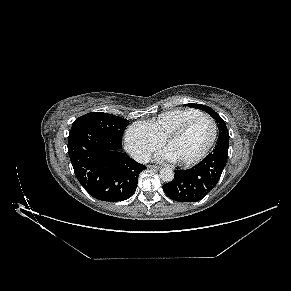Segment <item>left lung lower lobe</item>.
Wrapping results in <instances>:
<instances>
[{
  "label": "left lung lower lobe",
  "instance_id": "0a47b994",
  "mask_svg": "<svg viewBox=\"0 0 291 291\" xmlns=\"http://www.w3.org/2000/svg\"><path fill=\"white\" fill-rule=\"evenodd\" d=\"M229 140L219 139L212 153L188 170H176L163 185L165 194L178 202H197L217 184L227 162Z\"/></svg>",
  "mask_w": 291,
  "mask_h": 291
}]
</instances>
